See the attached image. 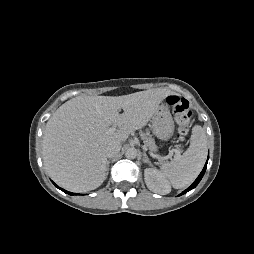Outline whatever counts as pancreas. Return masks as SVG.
I'll use <instances>...</instances> for the list:
<instances>
[{"mask_svg": "<svg viewBox=\"0 0 254 254\" xmlns=\"http://www.w3.org/2000/svg\"><path fill=\"white\" fill-rule=\"evenodd\" d=\"M141 135H142V138L144 139L145 145H146L147 147H149V149H150L151 151L156 150V145H155L154 139H153L151 136H149L148 133H143V134H141Z\"/></svg>", "mask_w": 254, "mask_h": 254, "instance_id": "obj_1", "label": "pancreas"}]
</instances>
